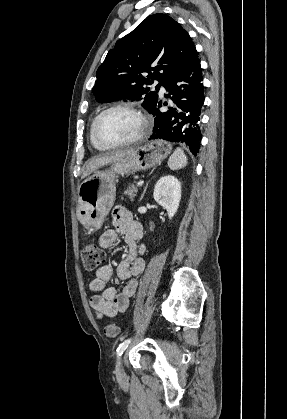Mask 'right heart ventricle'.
<instances>
[{"label":"right heart ventricle","instance_id":"e07e8e85","mask_svg":"<svg viewBox=\"0 0 287 419\" xmlns=\"http://www.w3.org/2000/svg\"><path fill=\"white\" fill-rule=\"evenodd\" d=\"M94 120H95V119H94ZM94 120L92 121V123H91V125H90V129H89V139H90V142H91L92 146H93L94 148L98 149V150H101V151L108 150V148H105V147H103V146L99 145V144L95 141V139H94V137H93V134H92V126H93Z\"/></svg>","mask_w":287,"mask_h":419}]
</instances>
